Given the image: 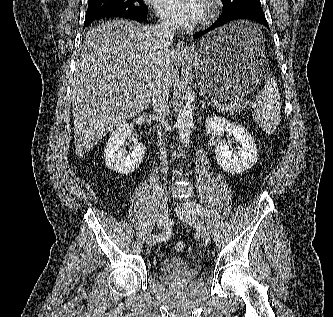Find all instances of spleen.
<instances>
[{
	"instance_id": "3e777b00",
	"label": "spleen",
	"mask_w": 333,
	"mask_h": 317,
	"mask_svg": "<svg viewBox=\"0 0 333 317\" xmlns=\"http://www.w3.org/2000/svg\"><path fill=\"white\" fill-rule=\"evenodd\" d=\"M256 102L258 107L253 112V119L271 135L279 124L281 111L280 93L273 76L266 80L264 88L256 96Z\"/></svg>"
}]
</instances>
